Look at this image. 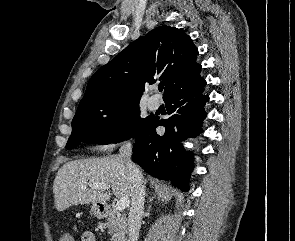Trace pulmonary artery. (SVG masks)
Returning <instances> with one entry per match:
<instances>
[{"label": "pulmonary artery", "instance_id": "1", "mask_svg": "<svg viewBox=\"0 0 295 241\" xmlns=\"http://www.w3.org/2000/svg\"><path fill=\"white\" fill-rule=\"evenodd\" d=\"M148 107L152 110L157 109L159 107V101L155 96L149 98Z\"/></svg>", "mask_w": 295, "mask_h": 241}]
</instances>
